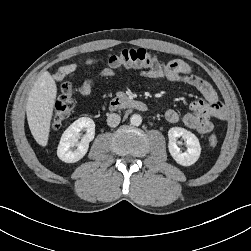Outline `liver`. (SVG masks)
<instances>
[{
  "mask_svg": "<svg viewBox=\"0 0 251 251\" xmlns=\"http://www.w3.org/2000/svg\"><path fill=\"white\" fill-rule=\"evenodd\" d=\"M56 95V83L51 74L45 71L34 83L27 100L28 125L34 139L42 147L48 143Z\"/></svg>",
  "mask_w": 251,
  "mask_h": 251,
  "instance_id": "6515ba94",
  "label": "liver"
}]
</instances>
